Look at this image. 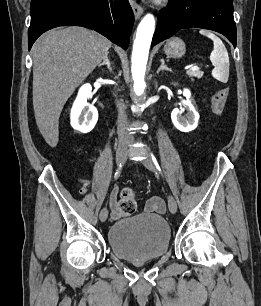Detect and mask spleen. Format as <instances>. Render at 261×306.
Masks as SVG:
<instances>
[{
  "label": "spleen",
  "instance_id": "spleen-1",
  "mask_svg": "<svg viewBox=\"0 0 261 306\" xmlns=\"http://www.w3.org/2000/svg\"><path fill=\"white\" fill-rule=\"evenodd\" d=\"M200 33L210 38L214 44L210 55V60L214 65L212 76L218 81L226 83L229 78V56L223 42L210 31L201 30Z\"/></svg>",
  "mask_w": 261,
  "mask_h": 306
}]
</instances>
